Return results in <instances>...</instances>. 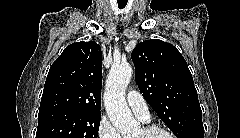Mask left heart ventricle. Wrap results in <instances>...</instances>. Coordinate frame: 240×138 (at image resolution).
Wrapping results in <instances>:
<instances>
[{
    "label": "left heart ventricle",
    "mask_w": 240,
    "mask_h": 138,
    "mask_svg": "<svg viewBox=\"0 0 240 138\" xmlns=\"http://www.w3.org/2000/svg\"><path fill=\"white\" fill-rule=\"evenodd\" d=\"M166 136L162 133H154L153 135L146 136L142 129L139 130V132L136 133L134 138H165Z\"/></svg>",
    "instance_id": "1"
}]
</instances>
